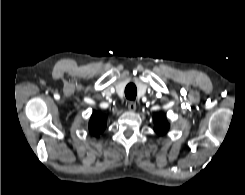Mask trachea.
<instances>
[{"mask_svg":"<svg viewBox=\"0 0 245 195\" xmlns=\"http://www.w3.org/2000/svg\"><path fill=\"white\" fill-rule=\"evenodd\" d=\"M137 95L136 85L133 83H129L125 88V96L129 100H134Z\"/></svg>","mask_w":245,"mask_h":195,"instance_id":"obj_1","label":"trachea"}]
</instances>
